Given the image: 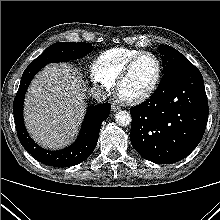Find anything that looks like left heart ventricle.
I'll list each match as a JSON object with an SVG mask.
<instances>
[{
    "instance_id": "obj_1",
    "label": "left heart ventricle",
    "mask_w": 220,
    "mask_h": 220,
    "mask_svg": "<svg viewBox=\"0 0 220 220\" xmlns=\"http://www.w3.org/2000/svg\"><path fill=\"white\" fill-rule=\"evenodd\" d=\"M156 72L155 60L150 56L141 57L122 82L120 95L124 98H133L143 94L152 85Z\"/></svg>"
}]
</instances>
